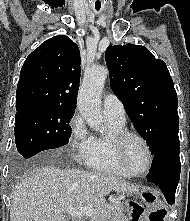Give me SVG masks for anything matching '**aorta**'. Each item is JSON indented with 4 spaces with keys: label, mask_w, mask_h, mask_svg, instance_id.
I'll return each mask as SVG.
<instances>
[{
    "label": "aorta",
    "mask_w": 190,
    "mask_h": 221,
    "mask_svg": "<svg viewBox=\"0 0 190 221\" xmlns=\"http://www.w3.org/2000/svg\"><path fill=\"white\" fill-rule=\"evenodd\" d=\"M108 69L98 66L90 69L84 76L78 93L77 106L81 116L92 129L103 130L101 113V93L104 87Z\"/></svg>",
    "instance_id": "aorta-1"
}]
</instances>
